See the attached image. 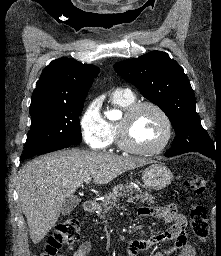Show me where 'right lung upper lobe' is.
Returning <instances> with one entry per match:
<instances>
[{"instance_id": "1", "label": "right lung upper lobe", "mask_w": 221, "mask_h": 256, "mask_svg": "<svg viewBox=\"0 0 221 256\" xmlns=\"http://www.w3.org/2000/svg\"><path fill=\"white\" fill-rule=\"evenodd\" d=\"M99 68L71 58H60L46 66L32 94L30 111L84 102Z\"/></svg>"}]
</instances>
